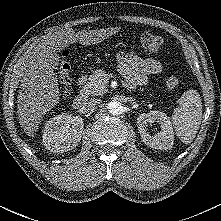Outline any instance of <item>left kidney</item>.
I'll return each mask as SVG.
<instances>
[{
  "label": "left kidney",
  "mask_w": 221,
  "mask_h": 221,
  "mask_svg": "<svg viewBox=\"0 0 221 221\" xmlns=\"http://www.w3.org/2000/svg\"><path fill=\"white\" fill-rule=\"evenodd\" d=\"M157 122L161 131L155 135L147 132V123ZM137 126L143 142L151 148L171 149L174 142V132L169 117L161 111L143 113L137 118Z\"/></svg>",
  "instance_id": "1"
}]
</instances>
